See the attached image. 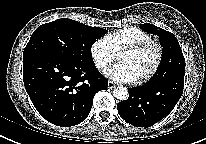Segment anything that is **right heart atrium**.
Instances as JSON below:
<instances>
[{
  "label": "right heart atrium",
  "mask_w": 206,
  "mask_h": 144,
  "mask_svg": "<svg viewBox=\"0 0 206 144\" xmlns=\"http://www.w3.org/2000/svg\"><path fill=\"white\" fill-rule=\"evenodd\" d=\"M89 51L95 67L101 71L105 70L115 58V53L105 37L93 41Z\"/></svg>",
  "instance_id": "right-heart-atrium-1"
}]
</instances>
